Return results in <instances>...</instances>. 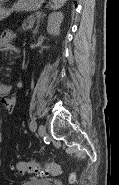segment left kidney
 I'll list each match as a JSON object with an SVG mask.
<instances>
[{
  "instance_id": "1",
  "label": "left kidney",
  "mask_w": 119,
  "mask_h": 185,
  "mask_svg": "<svg viewBox=\"0 0 119 185\" xmlns=\"http://www.w3.org/2000/svg\"><path fill=\"white\" fill-rule=\"evenodd\" d=\"M63 21V14L60 12H53L48 16L47 32L52 35H59L60 25Z\"/></svg>"
}]
</instances>
